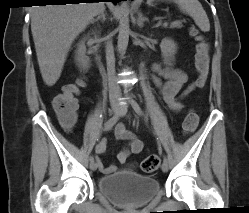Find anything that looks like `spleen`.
<instances>
[{"label":"spleen","instance_id":"spleen-1","mask_svg":"<svg viewBox=\"0 0 249 213\" xmlns=\"http://www.w3.org/2000/svg\"><path fill=\"white\" fill-rule=\"evenodd\" d=\"M154 0H147L150 5ZM176 3L179 9L191 16L196 25L203 31L208 32L210 30L209 19L204 11L201 3L198 0H169Z\"/></svg>","mask_w":249,"mask_h":213}]
</instances>
